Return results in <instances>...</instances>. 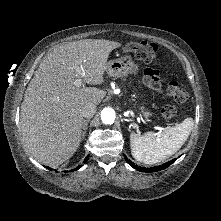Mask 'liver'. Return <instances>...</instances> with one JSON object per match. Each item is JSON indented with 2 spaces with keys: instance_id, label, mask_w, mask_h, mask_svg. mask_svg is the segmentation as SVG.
Segmentation results:
<instances>
[{
  "instance_id": "6515ba94",
  "label": "liver",
  "mask_w": 221,
  "mask_h": 221,
  "mask_svg": "<svg viewBox=\"0 0 221 221\" xmlns=\"http://www.w3.org/2000/svg\"><path fill=\"white\" fill-rule=\"evenodd\" d=\"M115 41L84 39L55 47L31 79L21 104L20 126L23 141L32 156L42 164L56 167L78 149L83 129L82 108L98 105L106 92L94 87H76L78 75L91 85L104 82L107 60Z\"/></svg>"
}]
</instances>
